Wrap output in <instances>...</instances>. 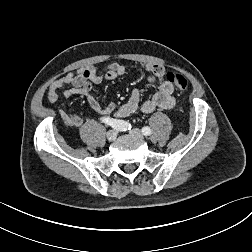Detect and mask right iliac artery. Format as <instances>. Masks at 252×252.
Segmentation results:
<instances>
[{"instance_id": "1", "label": "right iliac artery", "mask_w": 252, "mask_h": 252, "mask_svg": "<svg viewBox=\"0 0 252 252\" xmlns=\"http://www.w3.org/2000/svg\"><path fill=\"white\" fill-rule=\"evenodd\" d=\"M100 120L110 125L112 128L119 126L123 129V131H127L131 129V124L123 120H115L112 118H100Z\"/></svg>"}]
</instances>
